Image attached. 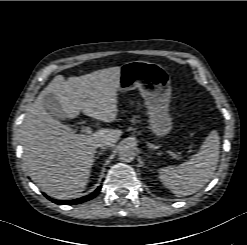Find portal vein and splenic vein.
<instances>
[{
	"mask_svg": "<svg viewBox=\"0 0 247 245\" xmlns=\"http://www.w3.org/2000/svg\"><path fill=\"white\" fill-rule=\"evenodd\" d=\"M83 130L85 131L86 134H91V133H92V129H91V127H89V126H85V127L83 128ZM173 156H174V158H176L177 160H181V159H182V157L179 156V155L173 154Z\"/></svg>",
	"mask_w": 247,
	"mask_h": 245,
	"instance_id": "portal-vein-and-splenic-vein-1",
	"label": "portal vein and splenic vein"
}]
</instances>
